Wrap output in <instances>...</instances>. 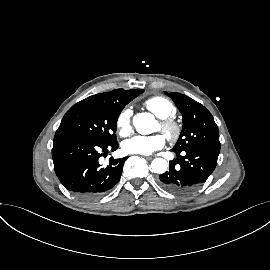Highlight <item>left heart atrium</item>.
Masks as SVG:
<instances>
[{
  "label": "left heart atrium",
  "mask_w": 270,
  "mask_h": 270,
  "mask_svg": "<svg viewBox=\"0 0 270 270\" xmlns=\"http://www.w3.org/2000/svg\"><path fill=\"white\" fill-rule=\"evenodd\" d=\"M165 137L161 134L151 136H134L123 142V150L129 154L150 155L165 145Z\"/></svg>",
  "instance_id": "obj_1"
}]
</instances>
